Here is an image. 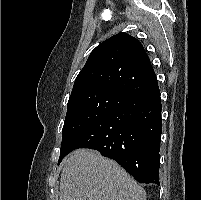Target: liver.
<instances>
[{"mask_svg":"<svg viewBox=\"0 0 201 200\" xmlns=\"http://www.w3.org/2000/svg\"><path fill=\"white\" fill-rule=\"evenodd\" d=\"M60 200H146V192L115 161L78 149L64 163Z\"/></svg>","mask_w":201,"mask_h":200,"instance_id":"1","label":"liver"}]
</instances>
